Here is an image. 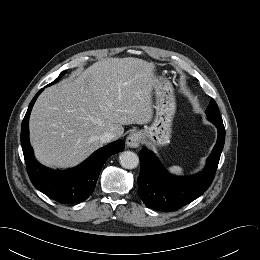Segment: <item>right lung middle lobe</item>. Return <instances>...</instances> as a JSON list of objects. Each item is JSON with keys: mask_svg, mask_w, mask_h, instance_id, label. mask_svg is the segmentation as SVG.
I'll list each match as a JSON object with an SVG mask.
<instances>
[{"mask_svg": "<svg viewBox=\"0 0 260 260\" xmlns=\"http://www.w3.org/2000/svg\"><path fill=\"white\" fill-rule=\"evenodd\" d=\"M63 74H64V73H61V74L59 75V77H58L55 81H53L52 83H50L48 86H50V85L56 83V82L63 76Z\"/></svg>", "mask_w": 260, "mask_h": 260, "instance_id": "1", "label": "right lung middle lobe"}]
</instances>
